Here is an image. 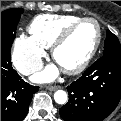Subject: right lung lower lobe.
I'll use <instances>...</instances> for the list:
<instances>
[{
	"label": "right lung lower lobe",
	"instance_id": "1",
	"mask_svg": "<svg viewBox=\"0 0 121 121\" xmlns=\"http://www.w3.org/2000/svg\"><path fill=\"white\" fill-rule=\"evenodd\" d=\"M38 89L12 68L10 52H1V121H22Z\"/></svg>",
	"mask_w": 121,
	"mask_h": 121
}]
</instances>
